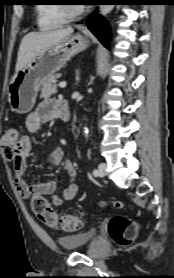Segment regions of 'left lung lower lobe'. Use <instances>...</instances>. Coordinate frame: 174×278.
I'll use <instances>...</instances> for the list:
<instances>
[{"mask_svg": "<svg viewBox=\"0 0 174 278\" xmlns=\"http://www.w3.org/2000/svg\"><path fill=\"white\" fill-rule=\"evenodd\" d=\"M88 29L100 40V42L108 47L110 39V28L108 23L101 15L93 12L87 20Z\"/></svg>", "mask_w": 174, "mask_h": 278, "instance_id": "left-lung-lower-lobe-1", "label": "left lung lower lobe"}]
</instances>
